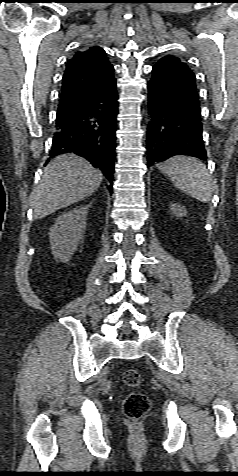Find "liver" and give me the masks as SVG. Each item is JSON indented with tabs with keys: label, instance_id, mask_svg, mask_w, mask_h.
<instances>
[{
	"label": "liver",
	"instance_id": "6515ba94",
	"mask_svg": "<svg viewBox=\"0 0 238 476\" xmlns=\"http://www.w3.org/2000/svg\"><path fill=\"white\" fill-rule=\"evenodd\" d=\"M103 174L87 160L74 154L56 157L44 169L32 192L30 204L34 218H44L55 211L85 199L97 190Z\"/></svg>",
	"mask_w": 238,
	"mask_h": 476
}]
</instances>
